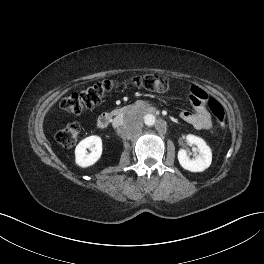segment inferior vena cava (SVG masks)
Segmentation results:
<instances>
[{
  "label": "inferior vena cava",
  "instance_id": "602c4592",
  "mask_svg": "<svg viewBox=\"0 0 264 264\" xmlns=\"http://www.w3.org/2000/svg\"><path fill=\"white\" fill-rule=\"evenodd\" d=\"M125 124V120L122 118V117H116L113 122H112V125L115 127V128H122Z\"/></svg>",
  "mask_w": 264,
  "mask_h": 264
}]
</instances>
